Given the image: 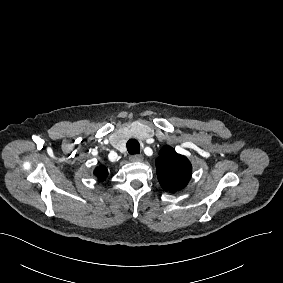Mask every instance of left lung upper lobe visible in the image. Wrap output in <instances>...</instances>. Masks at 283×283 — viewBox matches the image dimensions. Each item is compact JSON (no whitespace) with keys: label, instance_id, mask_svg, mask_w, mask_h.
I'll list each match as a JSON object with an SVG mask.
<instances>
[{"label":"left lung upper lobe","instance_id":"1","mask_svg":"<svg viewBox=\"0 0 283 283\" xmlns=\"http://www.w3.org/2000/svg\"><path fill=\"white\" fill-rule=\"evenodd\" d=\"M156 171L161 187L174 193L186 187L191 179L192 166L185 156L170 146H164L156 159Z\"/></svg>","mask_w":283,"mask_h":283}]
</instances>
